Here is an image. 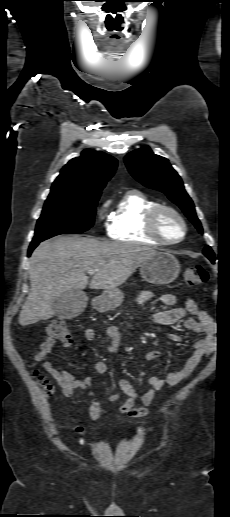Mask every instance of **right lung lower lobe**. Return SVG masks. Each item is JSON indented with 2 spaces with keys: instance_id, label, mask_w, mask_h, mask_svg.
Instances as JSON below:
<instances>
[{
  "instance_id": "98d812e1",
  "label": "right lung lower lobe",
  "mask_w": 230,
  "mask_h": 517,
  "mask_svg": "<svg viewBox=\"0 0 230 517\" xmlns=\"http://www.w3.org/2000/svg\"><path fill=\"white\" fill-rule=\"evenodd\" d=\"M40 242H37V243H31L30 244V247H29V250H28V256L31 255L33 249L39 244Z\"/></svg>"
}]
</instances>
